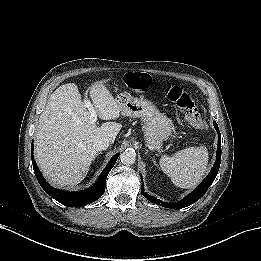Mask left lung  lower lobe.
<instances>
[{
    "mask_svg": "<svg viewBox=\"0 0 261 261\" xmlns=\"http://www.w3.org/2000/svg\"><path fill=\"white\" fill-rule=\"evenodd\" d=\"M213 123H214V127L218 133V149H217V153H216L217 159H216V162L214 163L212 170L210 171L208 176L203 180V182L192 193H190L188 196H186L183 200H181L178 203H167V202L160 201L159 199L145 193L144 189L142 188L143 189L142 193L145 198H147L150 202L158 204L163 207H167V208H171V209H181V208L187 207V206L195 203L206 193L207 189L212 184V182L214 181V179L218 173V170L220 167V162H221L220 132H219V128H218V125L216 124V122H213Z\"/></svg>",
    "mask_w": 261,
    "mask_h": 261,
    "instance_id": "obj_1",
    "label": "left lung lower lobe"
}]
</instances>
